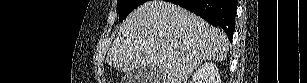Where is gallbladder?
<instances>
[{
  "label": "gallbladder",
  "instance_id": "obj_1",
  "mask_svg": "<svg viewBox=\"0 0 307 83\" xmlns=\"http://www.w3.org/2000/svg\"><path fill=\"white\" fill-rule=\"evenodd\" d=\"M162 77V73L156 67L147 66L126 73L124 81L126 83H159Z\"/></svg>",
  "mask_w": 307,
  "mask_h": 83
}]
</instances>
